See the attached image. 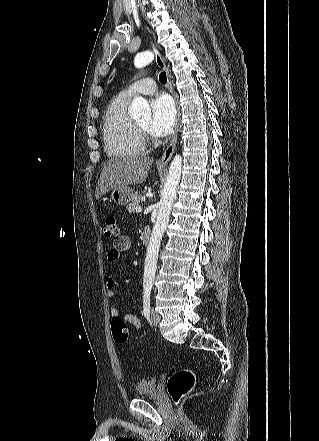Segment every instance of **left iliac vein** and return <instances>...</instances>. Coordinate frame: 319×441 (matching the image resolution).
Returning a JSON list of instances; mask_svg holds the SVG:
<instances>
[{
  "label": "left iliac vein",
  "mask_w": 319,
  "mask_h": 441,
  "mask_svg": "<svg viewBox=\"0 0 319 441\" xmlns=\"http://www.w3.org/2000/svg\"><path fill=\"white\" fill-rule=\"evenodd\" d=\"M150 321L155 326L159 325V323L161 321L160 315L158 314V312H156L153 309L151 310V313H150Z\"/></svg>",
  "instance_id": "4c4485c4"
}]
</instances>
